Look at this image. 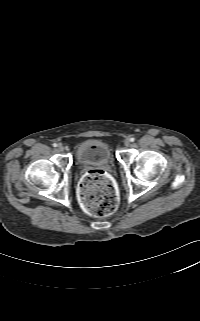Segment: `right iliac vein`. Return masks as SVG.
Wrapping results in <instances>:
<instances>
[{"label": "right iliac vein", "mask_w": 200, "mask_h": 321, "mask_svg": "<svg viewBox=\"0 0 200 321\" xmlns=\"http://www.w3.org/2000/svg\"><path fill=\"white\" fill-rule=\"evenodd\" d=\"M57 149H58L60 152H62V151L64 150V146H63L62 144H59V145L57 146Z\"/></svg>", "instance_id": "63e3f726"}]
</instances>
